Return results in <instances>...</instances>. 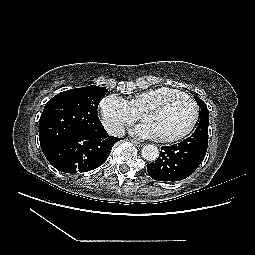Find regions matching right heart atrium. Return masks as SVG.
I'll use <instances>...</instances> for the list:
<instances>
[{
  "mask_svg": "<svg viewBox=\"0 0 255 255\" xmlns=\"http://www.w3.org/2000/svg\"><path fill=\"white\" fill-rule=\"evenodd\" d=\"M101 120L104 127L112 134L119 135L126 125L139 119V115L132 109L127 100L116 94L105 96L100 104Z\"/></svg>",
  "mask_w": 255,
  "mask_h": 255,
  "instance_id": "d8ad5b80",
  "label": "right heart atrium"
}]
</instances>
